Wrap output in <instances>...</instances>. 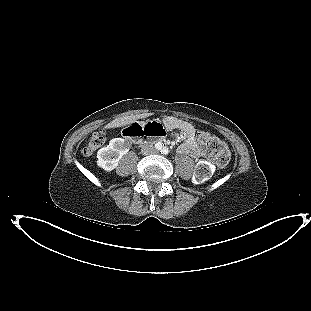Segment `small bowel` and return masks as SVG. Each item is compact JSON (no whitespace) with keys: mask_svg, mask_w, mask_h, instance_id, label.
I'll use <instances>...</instances> for the list:
<instances>
[{"mask_svg":"<svg viewBox=\"0 0 311 311\" xmlns=\"http://www.w3.org/2000/svg\"><path fill=\"white\" fill-rule=\"evenodd\" d=\"M163 126L168 130H180L186 136L185 142L178 149L179 153L190 155L194 158L200 156V151L195 141V129L191 123L176 117H165Z\"/></svg>","mask_w":311,"mask_h":311,"instance_id":"1","label":"small bowel"}]
</instances>
